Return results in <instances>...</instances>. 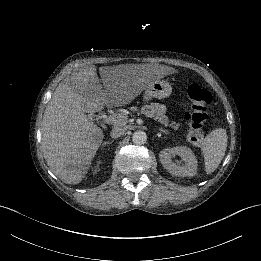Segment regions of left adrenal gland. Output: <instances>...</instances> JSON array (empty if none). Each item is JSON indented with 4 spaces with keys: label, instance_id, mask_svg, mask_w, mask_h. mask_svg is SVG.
Returning <instances> with one entry per match:
<instances>
[{
    "label": "left adrenal gland",
    "instance_id": "1",
    "mask_svg": "<svg viewBox=\"0 0 261 261\" xmlns=\"http://www.w3.org/2000/svg\"><path fill=\"white\" fill-rule=\"evenodd\" d=\"M158 130H159V132H161V133L169 134V131H165V130H163V128H159Z\"/></svg>",
    "mask_w": 261,
    "mask_h": 261
}]
</instances>
